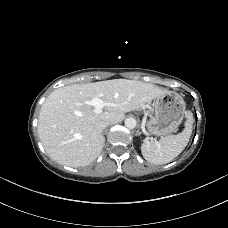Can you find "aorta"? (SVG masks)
Returning <instances> with one entry per match:
<instances>
[{
	"label": "aorta",
	"mask_w": 228,
	"mask_h": 228,
	"mask_svg": "<svg viewBox=\"0 0 228 228\" xmlns=\"http://www.w3.org/2000/svg\"><path fill=\"white\" fill-rule=\"evenodd\" d=\"M136 119L134 118H127L125 119V126L128 128V129H134L136 127Z\"/></svg>",
	"instance_id": "aorta-1"
}]
</instances>
